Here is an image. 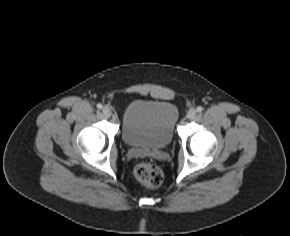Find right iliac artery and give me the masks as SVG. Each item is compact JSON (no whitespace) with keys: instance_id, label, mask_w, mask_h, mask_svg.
<instances>
[{"instance_id":"right-iliac-artery-1","label":"right iliac artery","mask_w":290,"mask_h":236,"mask_svg":"<svg viewBox=\"0 0 290 236\" xmlns=\"http://www.w3.org/2000/svg\"><path fill=\"white\" fill-rule=\"evenodd\" d=\"M98 109H102V104H97Z\"/></svg>"}]
</instances>
